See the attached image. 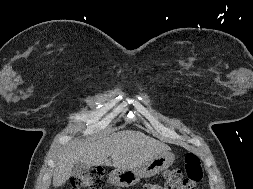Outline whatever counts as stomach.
<instances>
[{"label": "stomach", "instance_id": "stomach-1", "mask_svg": "<svg viewBox=\"0 0 253 189\" xmlns=\"http://www.w3.org/2000/svg\"><path fill=\"white\" fill-rule=\"evenodd\" d=\"M175 160L171 152L160 153L134 169H116L109 174V182L120 187L137 184L141 178H148L167 169Z\"/></svg>", "mask_w": 253, "mask_h": 189}]
</instances>
